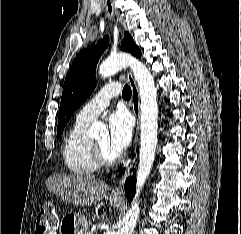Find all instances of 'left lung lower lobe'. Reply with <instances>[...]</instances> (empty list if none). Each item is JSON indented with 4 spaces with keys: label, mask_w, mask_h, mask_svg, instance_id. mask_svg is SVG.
<instances>
[{
    "label": "left lung lower lobe",
    "mask_w": 241,
    "mask_h": 234,
    "mask_svg": "<svg viewBox=\"0 0 241 234\" xmlns=\"http://www.w3.org/2000/svg\"><path fill=\"white\" fill-rule=\"evenodd\" d=\"M124 172H125V169L124 168L121 169L119 176H121ZM135 173L136 171L134 170V177L127 178L125 182L127 198L130 201L133 199V196L135 194V187H136Z\"/></svg>",
    "instance_id": "left-lung-lower-lobe-1"
}]
</instances>
